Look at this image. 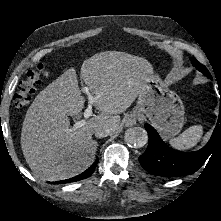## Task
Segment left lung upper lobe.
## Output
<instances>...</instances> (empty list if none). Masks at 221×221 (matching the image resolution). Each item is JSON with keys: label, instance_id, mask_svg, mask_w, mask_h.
<instances>
[{"label": "left lung upper lobe", "instance_id": "obj_1", "mask_svg": "<svg viewBox=\"0 0 221 221\" xmlns=\"http://www.w3.org/2000/svg\"><path fill=\"white\" fill-rule=\"evenodd\" d=\"M192 64L203 74H205L207 77H210L209 71L206 69L205 66L200 64L195 58H191Z\"/></svg>", "mask_w": 221, "mask_h": 221}]
</instances>
